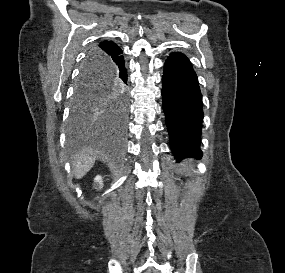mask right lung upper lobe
I'll return each mask as SVG.
<instances>
[{"instance_id": "cb5924a9", "label": "right lung upper lobe", "mask_w": 285, "mask_h": 273, "mask_svg": "<svg viewBox=\"0 0 285 273\" xmlns=\"http://www.w3.org/2000/svg\"><path fill=\"white\" fill-rule=\"evenodd\" d=\"M94 51L103 57H112L118 55L122 50L111 41H103L95 46Z\"/></svg>"}]
</instances>
